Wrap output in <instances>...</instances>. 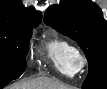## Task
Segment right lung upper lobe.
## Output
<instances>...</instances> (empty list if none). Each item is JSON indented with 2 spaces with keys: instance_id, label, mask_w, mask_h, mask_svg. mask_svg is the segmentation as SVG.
Listing matches in <instances>:
<instances>
[{
  "instance_id": "right-lung-upper-lobe-1",
  "label": "right lung upper lobe",
  "mask_w": 107,
  "mask_h": 89,
  "mask_svg": "<svg viewBox=\"0 0 107 89\" xmlns=\"http://www.w3.org/2000/svg\"><path fill=\"white\" fill-rule=\"evenodd\" d=\"M42 20V15L32 7H25L21 0H2L0 3V23L19 27H34Z\"/></svg>"
}]
</instances>
